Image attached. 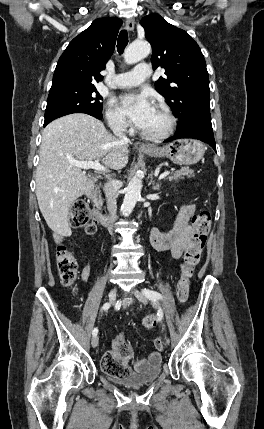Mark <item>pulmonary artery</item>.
I'll list each match as a JSON object with an SVG mask.
<instances>
[{
    "label": "pulmonary artery",
    "instance_id": "1",
    "mask_svg": "<svg viewBox=\"0 0 264 429\" xmlns=\"http://www.w3.org/2000/svg\"><path fill=\"white\" fill-rule=\"evenodd\" d=\"M150 73L148 64H138L132 71L117 74L112 81V86L116 88L137 86L143 83L150 76Z\"/></svg>",
    "mask_w": 264,
    "mask_h": 429
}]
</instances>
